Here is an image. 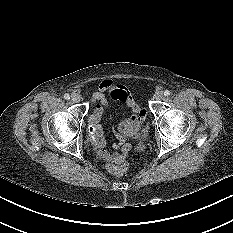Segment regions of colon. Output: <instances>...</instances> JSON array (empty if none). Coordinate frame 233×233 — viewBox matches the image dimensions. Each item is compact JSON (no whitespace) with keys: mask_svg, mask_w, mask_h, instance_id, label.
I'll return each instance as SVG.
<instances>
[{"mask_svg":"<svg viewBox=\"0 0 233 233\" xmlns=\"http://www.w3.org/2000/svg\"><path fill=\"white\" fill-rule=\"evenodd\" d=\"M85 132L88 134L87 142L90 145H95L98 142V137L95 135L96 132V126L93 123H88L85 126ZM108 170L115 174V175H122L127 171V165L125 164H114V163H108L107 164Z\"/></svg>","mask_w":233,"mask_h":233,"instance_id":"1","label":"colon"}]
</instances>
